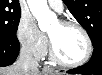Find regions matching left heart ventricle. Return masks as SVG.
<instances>
[{"label":"left heart ventricle","instance_id":"obj_1","mask_svg":"<svg viewBox=\"0 0 102 75\" xmlns=\"http://www.w3.org/2000/svg\"><path fill=\"white\" fill-rule=\"evenodd\" d=\"M58 56L66 62L80 60L86 52L83 34L75 27H63L55 23L48 31Z\"/></svg>","mask_w":102,"mask_h":75}]
</instances>
